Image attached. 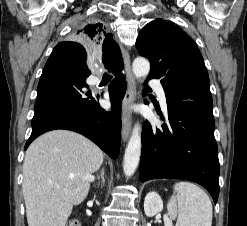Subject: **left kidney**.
<instances>
[{"instance_id":"5707ae66","label":"left kidney","mask_w":247,"mask_h":226,"mask_svg":"<svg viewBox=\"0 0 247 226\" xmlns=\"http://www.w3.org/2000/svg\"><path fill=\"white\" fill-rule=\"evenodd\" d=\"M163 209V201L160 195L156 192H149L144 200V212L146 216L152 217L160 213ZM164 226H173L168 215H164Z\"/></svg>"}]
</instances>
